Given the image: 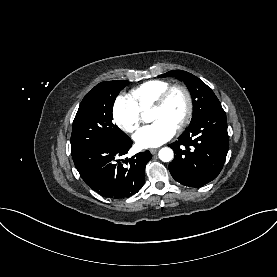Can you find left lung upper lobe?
<instances>
[{
    "label": "left lung upper lobe",
    "instance_id": "5c2ea615",
    "mask_svg": "<svg viewBox=\"0 0 277 277\" xmlns=\"http://www.w3.org/2000/svg\"><path fill=\"white\" fill-rule=\"evenodd\" d=\"M173 76L180 81H184L188 89L191 92L193 98V116L191 123L196 122L202 115L207 113L209 110L221 106L218 98L202 80L198 77L182 70H172L159 77Z\"/></svg>",
    "mask_w": 277,
    "mask_h": 277
}]
</instances>
